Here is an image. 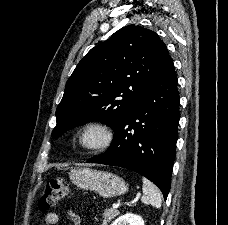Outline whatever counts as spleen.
Here are the masks:
<instances>
[{
    "label": "spleen",
    "mask_w": 228,
    "mask_h": 225,
    "mask_svg": "<svg viewBox=\"0 0 228 225\" xmlns=\"http://www.w3.org/2000/svg\"><path fill=\"white\" fill-rule=\"evenodd\" d=\"M143 181V195L141 197L142 203L145 205H152V207H156V209H160L161 207V193L153 183H150L148 179H142Z\"/></svg>",
    "instance_id": "spleen-1"
}]
</instances>
